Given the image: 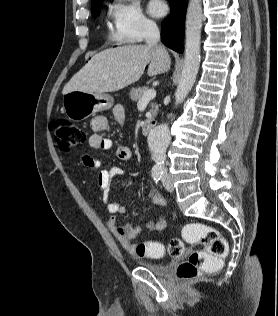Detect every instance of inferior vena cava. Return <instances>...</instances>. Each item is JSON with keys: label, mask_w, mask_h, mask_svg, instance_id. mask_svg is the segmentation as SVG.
Here are the masks:
<instances>
[{"label": "inferior vena cava", "mask_w": 278, "mask_h": 316, "mask_svg": "<svg viewBox=\"0 0 278 316\" xmlns=\"http://www.w3.org/2000/svg\"><path fill=\"white\" fill-rule=\"evenodd\" d=\"M144 37L147 45L154 46L160 41V31L154 22H147L144 26Z\"/></svg>", "instance_id": "602c4592"}]
</instances>
